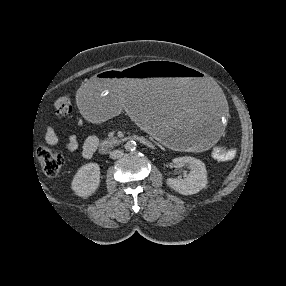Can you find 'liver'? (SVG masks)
<instances>
[{
  "instance_id": "1",
  "label": "liver",
  "mask_w": 286,
  "mask_h": 286,
  "mask_svg": "<svg viewBox=\"0 0 286 286\" xmlns=\"http://www.w3.org/2000/svg\"><path fill=\"white\" fill-rule=\"evenodd\" d=\"M122 95H123V97H124L125 93H124V92H122Z\"/></svg>"
}]
</instances>
